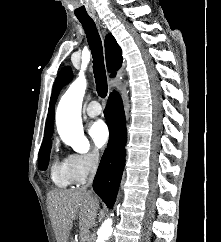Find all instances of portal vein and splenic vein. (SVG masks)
<instances>
[{"mask_svg": "<svg viewBox=\"0 0 221 242\" xmlns=\"http://www.w3.org/2000/svg\"><path fill=\"white\" fill-rule=\"evenodd\" d=\"M88 233H89V231H88V230H84V231H83V237H84V238H87Z\"/></svg>", "mask_w": 221, "mask_h": 242, "instance_id": "portal-vein-and-splenic-vein-1", "label": "portal vein and splenic vein"}]
</instances>
